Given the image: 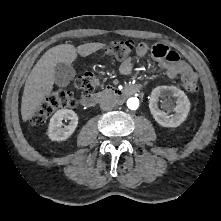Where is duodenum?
I'll return each instance as SVG.
<instances>
[{
    "label": "duodenum",
    "instance_id": "410a0bca",
    "mask_svg": "<svg viewBox=\"0 0 221 221\" xmlns=\"http://www.w3.org/2000/svg\"><path fill=\"white\" fill-rule=\"evenodd\" d=\"M140 86L137 84L130 85L124 89L106 88L97 93L85 95L81 103L86 107H91L105 97H112L118 101L124 100L129 96H132L140 92Z\"/></svg>",
    "mask_w": 221,
    "mask_h": 221
}]
</instances>
